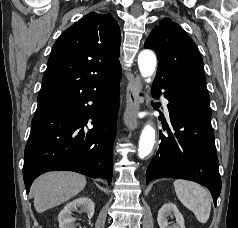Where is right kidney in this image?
<instances>
[{"mask_svg": "<svg viewBox=\"0 0 238 228\" xmlns=\"http://www.w3.org/2000/svg\"><path fill=\"white\" fill-rule=\"evenodd\" d=\"M80 208L83 212L87 213L89 219L94 215L95 205L88 197H80L72 202L66 204L58 215L59 228H76L75 218L72 217V212ZM79 228H82L81 226Z\"/></svg>", "mask_w": 238, "mask_h": 228, "instance_id": "obj_1", "label": "right kidney"}]
</instances>
